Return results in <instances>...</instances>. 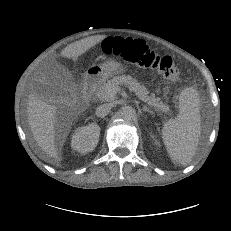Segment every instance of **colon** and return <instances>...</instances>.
Listing matches in <instances>:
<instances>
[{
  "label": "colon",
  "instance_id": "1",
  "mask_svg": "<svg viewBox=\"0 0 231 231\" xmlns=\"http://www.w3.org/2000/svg\"><path fill=\"white\" fill-rule=\"evenodd\" d=\"M101 50L107 56L120 57L135 66L156 69L162 72L164 78L170 83L179 80L180 72L174 58L156 53L142 40L124 37L108 38L102 42Z\"/></svg>",
  "mask_w": 231,
  "mask_h": 231
}]
</instances>
